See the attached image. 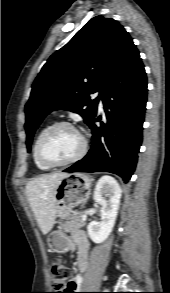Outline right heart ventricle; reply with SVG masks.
<instances>
[{"label": "right heart ventricle", "mask_w": 170, "mask_h": 293, "mask_svg": "<svg viewBox=\"0 0 170 293\" xmlns=\"http://www.w3.org/2000/svg\"><path fill=\"white\" fill-rule=\"evenodd\" d=\"M48 127H49V126H45V127H43V128L40 130V132H39V134L37 135V137H36V139H35V141H34V144H33V159H34L35 165H36L40 170H44V171H45V170H50L51 168L42 165V164L38 161V159H37V157H36V145H37V142H38L39 137L41 136V134H42V133H43Z\"/></svg>", "instance_id": "1"}]
</instances>
